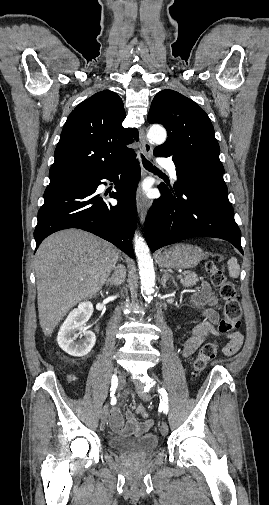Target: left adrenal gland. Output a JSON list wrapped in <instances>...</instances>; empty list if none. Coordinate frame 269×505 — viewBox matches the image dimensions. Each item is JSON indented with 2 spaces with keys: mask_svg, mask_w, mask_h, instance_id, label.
Segmentation results:
<instances>
[{
  "mask_svg": "<svg viewBox=\"0 0 269 505\" xmlns=\"http://www.w3.org/2000/svg\"><path fill=\"white\" fill-rule=\"evenodd\" d=\"M169 279L172 280V283L177 288L178 286H177V283L174 280V277L171 276L170 274H168V272L166 270H163V275H162V278H161V284H162L163 288H166V283H167V281Z\"/></svg>",
  "mask_w": 269,
  "mask_h": 505,
  "instance_id": "a2214340",
  "label": "left adrenal gland"
}]
</instances>
